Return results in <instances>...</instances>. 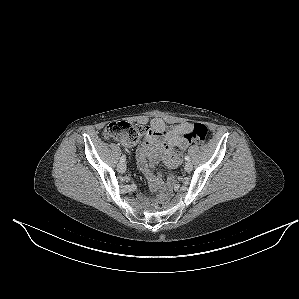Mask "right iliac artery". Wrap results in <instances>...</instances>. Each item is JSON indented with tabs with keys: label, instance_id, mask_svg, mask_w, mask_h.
<instances>
[{
	"label": "right iliac artery",
	"instance_id": "obj_1",
	"mask_svg": "<svg viewBox=\"0 0 299 299\" xmlns=\"http://www.w3.org/2000/svg\"><path fill=\"white\" fill-rule=\"evenodd\" d=\"M126 160V156L125 155H122L121 159H120V162H125Z\"/></svg>",
	"mask_w": 299,
	"mask_h": 299
}]
</instances>
